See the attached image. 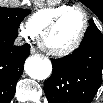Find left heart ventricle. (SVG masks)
<instances>
[{
    "label": "left heart ventricle",
    "mask_w": 103,
    "mask_h": 103,
    "mask_svg": "<svg viewBox=\"0 0 103 103\" xmlns=\"http://www.w3.org/2000/svg\"><path fill=\"white\" fill-rule=\"evenodd\" d=\"M84 25L83 14L75 11L67 15L46 38V44L53 49H64L79 37Z\"/></svg>",
    "instance_id": "b2bd125f"
}]
</instances>
